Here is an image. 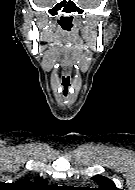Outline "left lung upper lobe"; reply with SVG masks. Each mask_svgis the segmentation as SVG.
I'll return each instance as SVG.
<instances>
[{"instance_id": "5c2ea615", "label": "left lung upper lobe", "mask_w": 135, "mask_h": 190, "mask_svg": "<svg viewBox=\"0 0 135 190\" xmlns=\"http://www.w3.org/2000/svg\"><path fill=\"white\" fill-rule=\"evenodd\" d=\"M92 179L100 186L97 190H120L111 179L102 175H95Z\"/></svg>"}]
</instances>
